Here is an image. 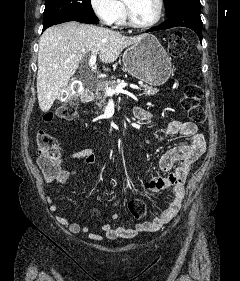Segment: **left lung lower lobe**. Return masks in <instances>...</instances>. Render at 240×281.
Returning <instances> with one entry per match:
<instances>
[{"mask_svg": "<svg viewBox=\"0 0 240 281\" xmlns=\"http://www.w3.org/2000/svg\"><path fill=\"white\" fill-rule=\"evenodd\" d=\"M176 26H182L192 29L202 41V27L203 23L200 17V11L187 9L180 11L168 18L165 22L157 27H152L146 32L164 30Z\"/></svg>", "mask_w": 240, "mask_h": 281, "instance_id": "left-lung-lower-lobe-1", "label": "left lung lower lobe"}]
</instances>
